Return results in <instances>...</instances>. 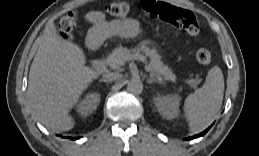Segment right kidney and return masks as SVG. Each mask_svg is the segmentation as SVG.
Masks as SVG:
<instances>
[{
	"label": "right kidney",
	"mask_w": 259,
	"mask_h": 156,
	"mask_svg": "<svg viewBox=\"0 0 259 156\" xmlns=\"http://www.w3.org/2000/svg\"><path fill=\"white\" fill-rule=\"evenodd\" d=\"M100 103V94L97 92H91L76 105L77 112L83 116L88 117L92 114Z\"/></svg>",
	"instance_id": "right-kidney-1"
}]
</instances>
